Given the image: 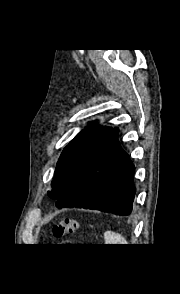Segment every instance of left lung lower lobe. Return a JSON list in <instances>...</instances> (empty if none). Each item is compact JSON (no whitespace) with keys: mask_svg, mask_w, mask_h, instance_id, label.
Instances as JSON below:
<instances>
[{"mask_svg":"<svg viewBox=\"0 0 180 294\" xmlns=\"http://www.w3.org/2000/svg\"><path fill=\"white\" fill-rule=\"evenodd\" d=\"M115 128L77 177L58 208L77 207L129 215L135 195L134 165L118 142Z\"/></svg>","mask_w":180,"mask_h":294,"instance_id":"1","label":"left lung lower lobe"}]
</instances>
